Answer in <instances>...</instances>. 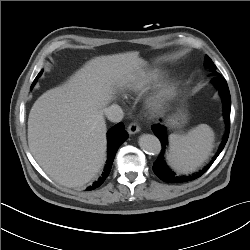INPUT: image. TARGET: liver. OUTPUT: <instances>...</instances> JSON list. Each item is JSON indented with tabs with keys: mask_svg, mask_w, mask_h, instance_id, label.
Wrapping results in <instances>:
<instances>
[{
	"mask_svg": "<svg viewBox=\"0 0 250 250\" xmlns=\"http://www.w3.org/2000/svg\"><path fill=\"white\" fill-rule=\"evenodd\" d=\"M144 65L137 51L99 56L35 101L28 144L53 180L80 187L97 175L107 148L104 107L113 98L114 86L133 80Z\"/></svg>",
	"mask_w": 250,
	"mask_h": 250,
	"instance_id": "6515ba94",
	"label": "liver"
}]
</instances>
